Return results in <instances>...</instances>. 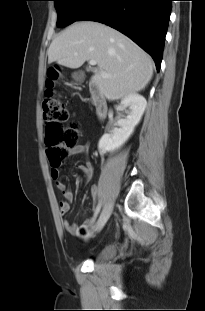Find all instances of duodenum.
<instances>
[{"label":"duodenum","mask_w":205,"mask_h":311,"mask_svg":"<svg viewBox=\"0 0 205 311\" xmlns=\"http://www.w3.org/2000/svg\"><path fill=\"white\" fill-rule=\"evenodd\" d=\"M90 96L95 107L96 117L98 119L105 118L109 111L108 101L103 96L100 87L94 82L90 85Z\"/></svg>","instance_id":"410a0bca"}]
</instances>
